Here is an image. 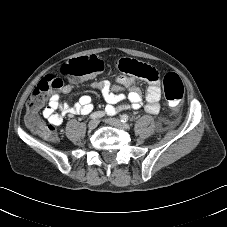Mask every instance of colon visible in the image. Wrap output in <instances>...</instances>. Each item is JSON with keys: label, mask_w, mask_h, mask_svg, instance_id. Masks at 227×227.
<instances>
[{"label": "colon", "mask_w": 227, "mask_h": 227, "mask_svg": "<svg viewBox=\"0 0 227 227\" xmlns=\"http://www.w3.org/2000/svg\"><path fill=\"white\" fill-rule=\"evenodd\" d=\"M104 65L95 55H88L76 59L68 60L60 69L61 74L74 80L95 76L101 73ZM127 71L136 76L147 80H154L158 77L156 70L143 62L130 60ZM64 80L56 75L50 74L44 77L32 91L27 101L26 124L34 132L48 141H55L57 133L51 125L44 124L38 115V112L44 104L49 94L62 88ZM164 97L167 105L177 107L183 99L184 87L180 77L174 72H168L163 78Z\"/></svg>", "instance_id": "5ec220e1"}]
</instances>
